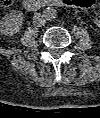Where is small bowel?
Masks as SVG:
<instances>
[{
  "mask_svg": "<svg viewBox=\"0 0 100 118\" xmlns=\"http://www.w3.org/2000/svg\"><path fill=\"white\" fill-rule=\"evenodd\" d=\"M76 3H78V5H80V6H82V1L81 0H76Z\"/></svg>",
  "mask_w": 100,
  "mask_h": 118,
  "instance_id": "1",
  "label": "small bowel"
}]
</instances>
